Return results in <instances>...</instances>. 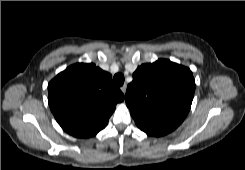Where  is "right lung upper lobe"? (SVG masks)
<instances>
[{"instance_id": "1", "label": "right lung upper lobe", "mask_w": 245, "mask_h": 170, "mask_svg": "<svg viewBox=\"0 0 245 170\" xmlns=\"http://www.w3.org/2000/svg\"><path fill=\"white\" fill-rule=\"evenodd\" d=\"M123 93L95 64L77 63L48 84L50 109L64 131L88 138L105 128Z\"/></svg>"}]
</instances>
